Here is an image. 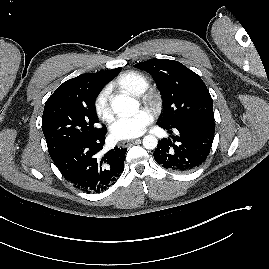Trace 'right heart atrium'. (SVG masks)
Instances as JSON below:
<instances>
[{"mask_svg": "<svg viewBox=\"0 0 269 269\" xmlns=\"http://www.w3.org/2000/svg\"><path fill=\"white\" fill-rule=\"evenodd\" d=\"M94 107L97 115L105 121L112 119V109L109 104V90L103 88L95 98Z\"/></svg>", "mask_w": 269, "mask_h": 269, "instance_id": "1", "label": "right heart atrium"}]
</instances>
